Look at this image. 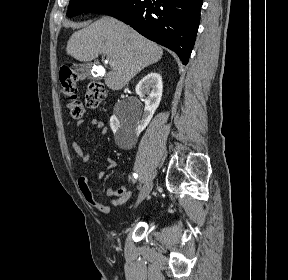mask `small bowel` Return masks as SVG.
Masks as SVG:
<instances>
[{"label":"small bowel","instance_id":"1","mask_svg":"<svg viewBox=\"0 0 288 280\" xmlns=\"http://www.w3.org/2000/svg\"><path fill=\"white\" fill-rule=\"evenodd\" d=\"M84 121H79L78 122V127L83 126ZM90 125L99 129L102 135H106L108 132L107 127L105 126L104 122L97 119V118H92L90 120ZM72 148L75 151L76 155L78 158L83 162L87 163L90 160V156L88 153L83 151L81 146L77 142L72 143ZM116 167V162L113 158L108 157L106 159V169L107 170H112ZM106 175L105 171H99L97 173V178L98 179H103ZM78 187L85 199V201L94 209H96L99 212L102 213H109L112 209V207L121 205L128 201L130 197L132 196L131 191L127 190L125 186H119V187H109L106 191V195L108 197H112L111 201L107 204L102 203L97 200L95 197L90 185H89V180L88 177L85 174H82L78 177L77 179Z\"/></svg>","mask_w":288,"mask_h":280}]
</instances>
